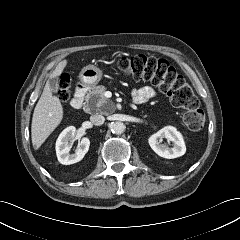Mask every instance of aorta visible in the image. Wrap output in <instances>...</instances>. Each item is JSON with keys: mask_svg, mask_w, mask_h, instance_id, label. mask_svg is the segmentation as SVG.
I'll use <instances>...</instances> for the list:
<instances>
[{"mask_svg": "<svg viewBox=\"0 0 240 240\" xmlns=\"http://www.w3.org/2000/svg\"><path fill=\"white\" fill-rule=\"evenodd\" d=\"M125 124L123 122H114L111 125V131L114 134H122L125 131Z\"/></svg>", "mask_w": 240, "mask_h": 240, "instance_id": "762f6f07", "label": "aorta"}]
</instances>
